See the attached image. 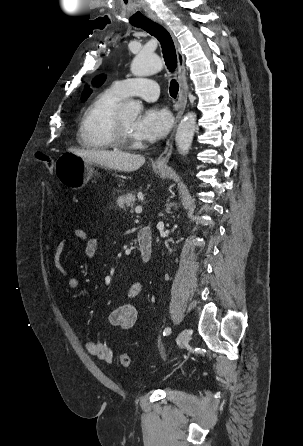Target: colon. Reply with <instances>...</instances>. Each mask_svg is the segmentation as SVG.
<instances>
[{
  "label": "colon",
  "mask_w": 303,
  "mask_h": 446,
  "mask_svg": "<svg viewBox=\"0 0 303 446\" xmlns=\"http://www.w3.org/2000/svg\"><path fill=\"white\" fill-rule=\"evenodd\" d=\"M36 158L38 159V161L45 164L49 173L53 172V169H54L53 160L48 155H46L42 152H38V153H36ZM118 361H119L120 365L125 368H128L131 364L129 355L127 353H121L118 357Z\"/></svg>",
  "instance_id": "obj_1"
}]
</instances>
